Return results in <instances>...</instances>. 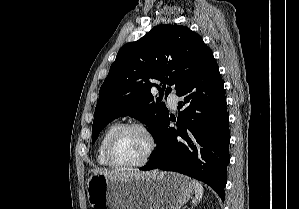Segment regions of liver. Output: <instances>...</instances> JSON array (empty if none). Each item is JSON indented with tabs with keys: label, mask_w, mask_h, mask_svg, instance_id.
I'll return each mask as SVG.
<instances>
[{
	"label": "liver",
	"mask_w": 299,
	"mask_h": 209,
	"mask_svg": "<svg viewBox=\"0 0 299 209\" xmlns=\"http://www.w3.org/2000/svg\"><path fill=\"white\" fill-rule=\"evenodd\" d=\"M92 172L95 174H103L105 176L113 177L120 180L130 179V178H140L149 174L148 172H141L139 170L108 171L99 168L93 169Z\"/></svg>",
	"instance_id": "obj_1"
}]
</instances>
